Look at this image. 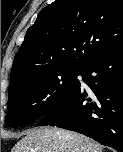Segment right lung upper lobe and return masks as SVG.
Listing matches in <instances>:
<instances>
[{
    "label": "right lung upper lobe",
    "mask_w": 123,
    "mask_h": 152,
    "mask_svg": "<svg viewBox=\"0 0 123 152\" xmlns=\"http://www.w3.org/2000/svg\"><path fill=\"white\" fill-rule=\"evenodd\" d=\"M123 42V0H56L27 30L9 90L26 77L64 68L83 70Z\"/></svg>",
    "instance_id": "obj_1"
}]
</instances>
